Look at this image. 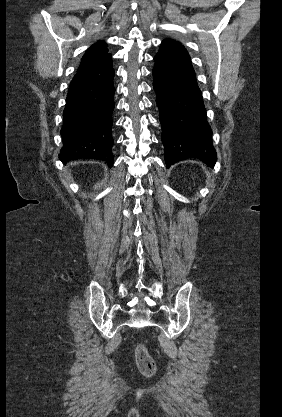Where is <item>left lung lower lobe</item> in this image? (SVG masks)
Here are the masks:
<instances>
[{"mask_svg": "<svg viewBox=\"0 0 282 417\" xmlns=\"http://www.w3.org/2000/svg\"><path fill=\"white\" fill-rule=\"evenodd\" d=\"M154 60L153 87L167 168L191 158L213 167L217 156L212 130L188 52L179 42L166 39Z\"/></svg>", "mask_w": 282, "mask_h": 417, "instance_id": "left-lung-lower-lobe-1", "label": "left lung lower lobe"}]
</instances>
